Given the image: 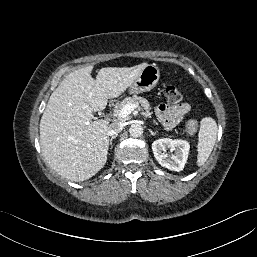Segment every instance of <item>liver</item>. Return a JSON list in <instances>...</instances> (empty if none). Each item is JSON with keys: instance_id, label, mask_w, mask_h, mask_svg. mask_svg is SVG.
<instances>
[{"instance_id": "obj_1", "label": "liver", "mask_w": 257, "mask_h": 257, "mask_svg": "<svg viewBox=\"0 0 257 257\" xmlns=\"http://www.w3.org/2000/svg\"><path fill=\"white\" fill-rule=\"evenodd\" d=\"M148 63L133 67H105L96 80L93 65L68 74L51 94L40 121V145L50 167L71 181H84L107 161V120L93 112L105 109L108 99L120 96Z\"/></svg>"}]
</instances>
